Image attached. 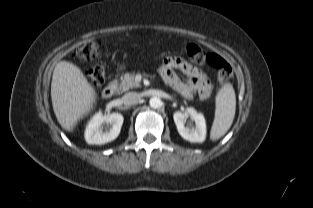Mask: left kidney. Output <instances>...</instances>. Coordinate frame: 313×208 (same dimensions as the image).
I'll return each mask as SVG.
<instances>
[{"label": "left kidney", "instance_id": "obj_1", "mask_svg": "<svg viewBox=\"0 0 313 208\" xmlns=\"http://www.w3.org/2000/svg\"><path fill=\"white\" fill-rule=\"evenodd\" d=\"M195 122V126H185L187 118ZM173 119L176 124L179 134L187 141L202 143L206 137L205 118L201 113H198L194 108L190 107L185 112L176 111L173 114Z\"/></svg>", "mask_w": 313, "mask_h": 208}]
</instances>
